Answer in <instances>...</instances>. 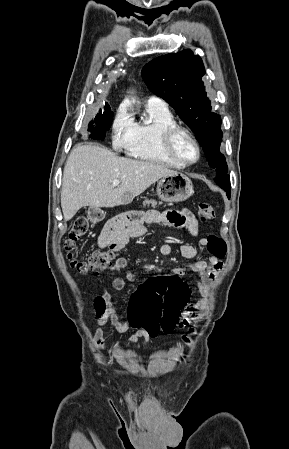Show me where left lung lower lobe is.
Masks as SVG:
<instances>
[{"label":"left lung lower lobe","instance_id":"1","mask_svg":"<svg viewBox=\"0 0 289 449\" xmlns=\"http://www.w3.org/2000/svg\"><path fill=\"white\" fill-rule=\"evenodd\" d=\"M224 190L226 191V194H227L228 198H230V191H231L230 188H227V189H224Z\"/></svg>","mask_w":289,"mask_h":449}]
</instances>
